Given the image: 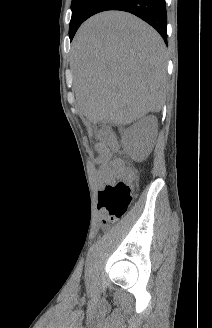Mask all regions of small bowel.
Masks as SVG:
<instances>
[{
    "label": "small bowel",
    "instance_id": "c3829d8e",
    "mask_svg": "<svg viewBox=\"0 0 212 328\" xmlns=\"http://www.w3.org/2000/svg\"><path fill=\"white\" fill-rule=\"evenodd\" d=\"M98 156L96 162L99 165V174L104 179H111L114 176H121L122 162L115 157L111 150L103 144H97Z\"/></svg>",
    "mask_w": 212,
    "mask_h": 328
}]
</instances>
